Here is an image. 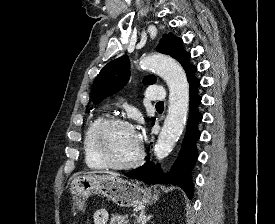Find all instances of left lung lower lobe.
Segmentation results:
<instances>
[{
    "instance_id": "0a47b994",
    "label": "left lung lower lobe",
    "mask_w": 275,
    "mask_h": 224,
    "mask_svg": "<svg viewBox=\"0 0 275 224\" xmlns=\"http://www.w3.org/2000/svg\"><path fill=\"white\" fill-rule=\"evenodd\" d=\"M196 71L197 69L193 70L187 76L190 88L189 118L179 156L170 172L164 175L160 174L159 166H155L154 163L150 162V157H148L144 165L125 174L129 178L144 181L147 184L162 183L178 185L186 192L190 199L193 196L191 170L198 157L196 141L200 138L197 125L202 120V115L198 112L201 97L197 93L200 80L195 77Z\"/></svg>"
}]
</instances>
